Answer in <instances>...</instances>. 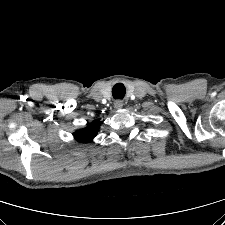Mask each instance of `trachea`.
<instances>
[{"label": "trachea", "mask_w": 225, "mask_h": 225, "mask_svg": "<svg viewBox=\"0 0 225 225\" xmlns=\"http://www.w3.org/2000/svg\"><path fill=\"white\" fill-rule=\"evenodd\" d=\"M112 95L115 99H122L125 95V88L122 84H117L113 87Z\"/></svg>", "instance_id": "1"}]
</instances>
